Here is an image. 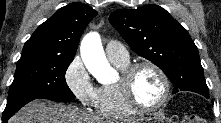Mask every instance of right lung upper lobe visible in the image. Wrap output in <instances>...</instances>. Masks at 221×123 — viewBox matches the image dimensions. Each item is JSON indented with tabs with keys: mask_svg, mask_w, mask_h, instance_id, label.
<instances>
[{
	"mask_svg": "<svg viewBox=\"0 0 221 123\" xmlns=\"http://www.w3.org/2000/svg\"><path fill=\"white\" fill-rule=\"evenodd\" d=\"M96 14L93 8L83 4L62 7L36 29L22 54L75 56L84 29Z\"/></svg>",
	"mask_w": 221,
	"mask_h": 123,
	"instance_id": "cb5924a9",
	"label": "right lung upper lobe"
}]
</instances>
